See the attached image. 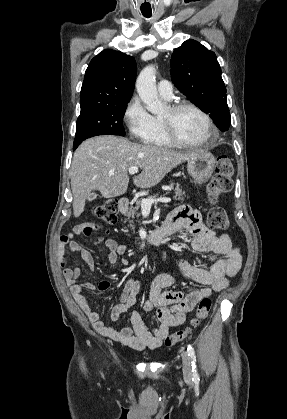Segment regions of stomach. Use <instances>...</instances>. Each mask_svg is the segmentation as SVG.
<instances>
[{"instance_id": "stomach-1", "label": "stomach", "mask_w": 287, "mask_h": 419, "mask_svg": "<svg viewBox=\"0 0 287 419\" xmlns=\"http://www.w3.org/2000/svg\"><path fill=\"white\" fill-rule=\"evenodd\" d=\"M215 166L214 156L210 152L201 151L188 160L187 170L196 183L203 184L210 179Z\"/></svg>"}]
</instances>
